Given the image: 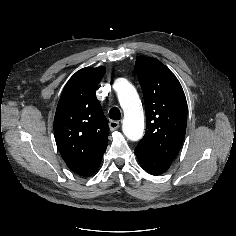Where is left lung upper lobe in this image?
<instances>
[{"label":"left lung upper lobe","mask_w":236,"mask_h":236,"mask_svg":"<svg viewBox=\"0 0 236 236\" xmlns=\"http://www.w3.org/2000/svg\"><path fill=\"white\" fill-rule=\"evenodd\" d=\"M146 112V133L136 148L173 162L185 137L187 103L174 74L159 60L140 58L135 63Z\"/></svg>","instance_id":"5c2ea615"}]
</instances>
